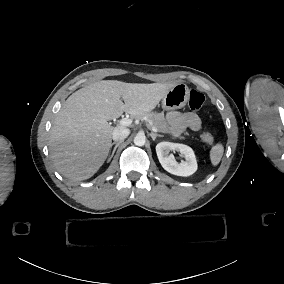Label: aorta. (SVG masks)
<instances>
[{"mask_svg":"<svg viewBox=\"0 0 284 284\" xmlns=\"http://www.w3.org/2000/svg\"><path fill=\"white\" fill-rule=\"evenodd\" d=\"M146 142V137L144 135H136L134 138V144L137 146H143Z\"/></svg>","mask_w":284,"mask_h":284,"instance_id":"obj_1","label":"aorta"}]
</instances>
